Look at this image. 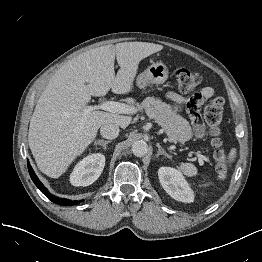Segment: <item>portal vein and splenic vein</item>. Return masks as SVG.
<instances>
[{"instance_id": "18ae733b", "label": "portal vein and splenic vein", "mask_w": 262, "mask_h": 262, "mask_svg": "<svg viewBox=\"0 0 262 262\" xmlns=\"http://www.w3.org/2000/svg\"><path fill=\"white\" fill-rule=\"evenodd\" d=\"M104 110L111 113H118V114H131L134 111L133 108L129 107L127 104L114 102V101H106L99 105H89L87 108L83 110L84 115L89 114L93 110ZM197 154L199 159H202V156L199 155L197 152H193Z\"/></svg>"}]
</instances>
